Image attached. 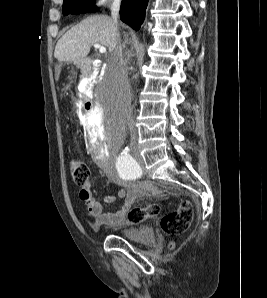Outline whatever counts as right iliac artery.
<instances>
[{
    "mask_svg": "<svg viewBox=\"0 0 267 298\" xmlns=\"http://www.w3.org/2000/svg\"><path fill=\"white\" fill-rule=\"evenodd\" d=\"M122 162H128V163H135V160L130 155V149L129 147H125L121 153V157L119 159Z\"/></svg>",
    "mask_w": 267,
    "mask_h": 298,
    "instance_id": "82829eb1",
    "label": "right iliac artery"
}]
</instances>
